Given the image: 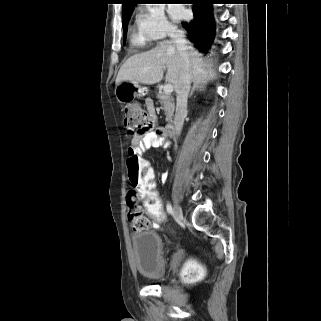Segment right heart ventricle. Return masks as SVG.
Instances as JSON below:
<instances>
[{
    "mask_svg": "<svg viewBox=\"0 0 321 321\" xmlns=\"http://www.w3.org/2000/svg\"><path fill=\"white\" fill-rule=\"evenodd\" d=\"M150 39L143 35L139 30L132 32L130 36L131 45L138 48L146 47L150 43Z\"/></svg>",
    "mask_w": 321,
    "mask_h": 321,
    "instance_id": "e07e8e85",
    "label": "right heart ventricle"
}]
</instances>
